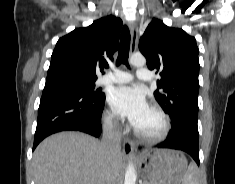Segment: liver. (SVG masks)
Wrapping results in <instances>:
<instances>
[{
	"label": "liver",
	"instance_id": "6515ba94",
	"mask_svg": "<svg viewBox=\"0 0 235 184\" xmlns=\"http://www.w3.org/2000/svg\"><path fill=\"white\" fill-rule=\"evenodd\" d=\"M121 158L107 154L101 142L81 132H59L43 140L33 154L35 184L114 182Z\"/></svg>",
	"mask_w": 235,
	"mask_h": 184
}]
</instances>
